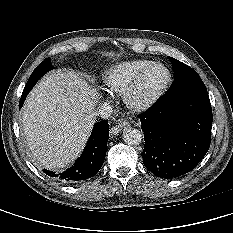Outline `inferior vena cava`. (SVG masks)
I'll return each mask as SVG.
<instances>
[{"instance_id":"obj_1","label":"inferior vena cava","mask_w":233,"mask_h":233,"mask_svg":"<svg viewBox=\"0 0 233 233\" xmlns=\"http://www.w3.org/2000/svg\"><path fill=\"white\" fill-rule=\"evenodd\" d=\"M112 114V106L109 103H103L98 107L96 115L100 116L102 119H107Z\"/></svg>"}]
</instances>
